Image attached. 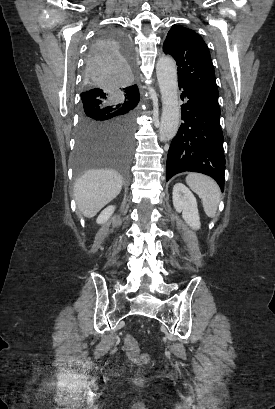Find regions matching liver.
<instances>
[{
  "label": "liver",
  "mask_w": 275,
  "mask_h": 409,
  "mask_svg": "<svg viewBox=\"0 0 275 409\" xmlns=\"http://www.w3.org/2000/svg\"><path fill=\"white\" fill-rule=\"evenodd\" d=\"M122 176L112 168L86 170L75 180L74 196L84 217H95L107 202L113 200L122 188Z\"/></svg>",
  "instance_id": "obj_1"
}]
</instances>
